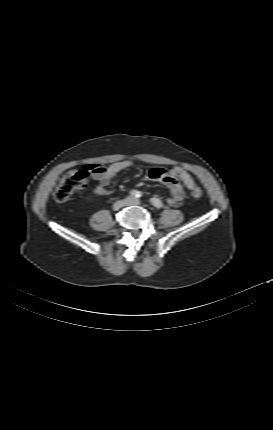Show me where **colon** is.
Listing matches in <instances>:
<instances>
[{"label":"colon","instance_id":"obj_1","mask_svg":"<svg viewBox=\"0 0 273 430\" xmlns=\"http://www.w3.org/2000/svg\"><path fill=\"white\" fill-rule=\"evenodd\" d=\"M93 165V164H91ZM90 175H86L83 170L70 171L66 173L59 181L54 192V198L58 202L67 201L74 192L85 188L88 184ZM203 192L200 188L192 189L193 198L202 197Z\"/></svg>","mask_w":273,"mask_h":430}]
</instances>
